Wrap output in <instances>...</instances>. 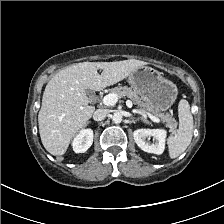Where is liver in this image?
I'll list each match as a JSON object with an SVG mask.
<instances>
[{"mask_svg":"<svg viewBox=\"0 0 224 224\" xmlns=\"http://www.w3.org/2000/svg\"><path fill=\"white\" fill-rule=\"evenodd\" d=\"M130 59L115 62H82L62 69L45 87L38 114L39 133L45 149L63 155L76 135L87 125L95 111L86 90L101 91L118 83L146 65ZM101 69V75L97 70Z\"/></svg>","mask_w":224,"mask_h":224,"instance_id":"liver-1","label":"liver"}]
</instances>
